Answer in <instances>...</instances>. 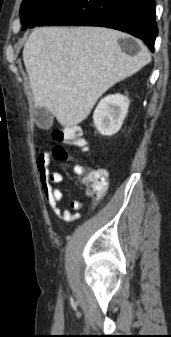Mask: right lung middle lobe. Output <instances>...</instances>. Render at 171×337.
Returning <instances> with one entry per match:
<instances>
[{
    "instance_id": "1",
    "label": "right lung middle lobe",
    "mask_w": 171,
    "mask_h": 337,
    "mask_svg": "<svg viewBox=\"0 0 171 337\" xmlns=\"http://www.w3.org/2000/svg\"><path fill=\"white\" fill-rule=\"evenodd\" d=\"M67 0H24L21 4L22 30L33 28L55 13Z\"/></svg>"
}]
</instances>
